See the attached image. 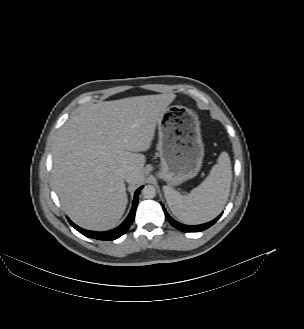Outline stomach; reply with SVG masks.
I'll list each match as a JSON object with an SVG mask.
<instances>
[{
	"instance_id": "0dacf381",
	"label": "stomach",
	"mask_w": 304,
	"mask_h": 329,
	"mask_svg": "<svg viewBox=\"0 0 304 329\" xmlns=\"http://www.w3.org/2000/svg\"><path fill=\"white\" fill-rule=\"evenodd\" d=\"M158 136L159 178L176 186L195 177L204 157L200 122L195 112L179 105L168 107L158 121Z\"/></svg>"
}]
</instances>
